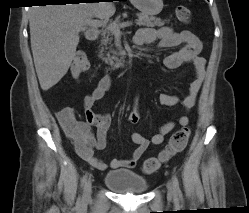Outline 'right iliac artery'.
Listing matches in <instances>:
<instances>
[{
  "label": "right iliac artery",
  "instance_id": "obj_1",
  "mask_svg": "<svg viewBox=\"0 0 249 213\" xmlns=\"http://www.w3.org/2000/svg\"><path fill=\"white\" fill-rule=\"evenodd\" d=\"M87 178H88V173H86V174L82 177V179H81V186H83V185L86 183Z\"/></svg>",
  "mask_w": 249,
  "mask_h": 213
}]
</instances>
